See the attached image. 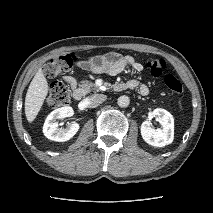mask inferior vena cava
Listing matches in <instances>:
<instances>
[{
	"label": "inferior vena cava",
	"instance_id": "602c4592",
	"mask_svg": "<svg viewBox=\"0 0 213 213\" xmlns=\"http://www.w3.org/2000/svg\"><path fill=\"white\" fill-rule=\"evenodd\" d=\"M106 99H107V96L104 94H94L88 97L86 100L90 108H95L101 103H103Z\"/></svg>",
	"mask_w": 213,
	"mask_h": 213
}]
</instances>
